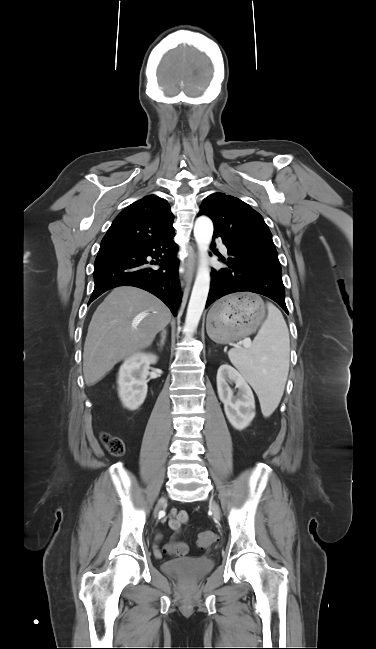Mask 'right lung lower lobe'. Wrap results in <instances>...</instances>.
Instances as JSON below:
<instances>
[{"label":"right lung lower lobe","mask_w":376,"mask_h":649,"mask_svg":"<svg viewBox=\"0 0 376 649\" xmlns=\"http://www.w3.org/2000/svg\"><path fill=\"white\" fill-rule=\"evenodd\" d=\"M173 237L174 232L132 248L98 254L94 265L95 287L88 304L109 289L128 285L154 294L176 316L181 291ZM148 256L155 261H147ZM150 264H159L161 268L153 270Z\"/></svg>","instance_id":"1"}]
</instances>
